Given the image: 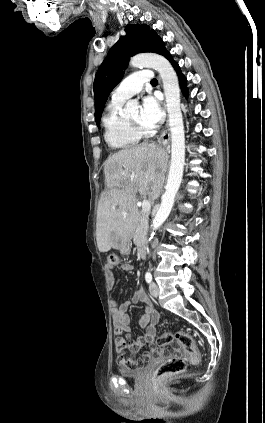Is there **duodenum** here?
<instances>
[{
  "instance_id": "410a0bca",
  "label": "duodenum",
  "mask_w": 265,
  "mask_h": 423,
  "mask_svg": "<svg viewBox=\"0 0 265 423\" xmlns=\"http://www.w3.org/2000/svg\"><path fill=\"white\" fill-rule=\"evenodd\" d=\"M137 255L141 258L147 257L148 250H147V247L144 244L138 243Z\"/></svg>"
}]
</instances>
